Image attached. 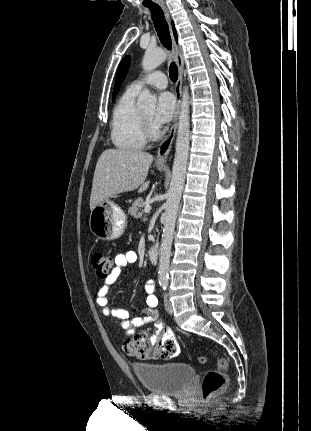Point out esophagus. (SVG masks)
<instances>
[{
  "label": "esophagus",
  "mask_w": 311,
  "mask_h": 431,
  "mask_svg": "<svg viewBox=\"0 0 311 431\" xmlns=\"http://www.w3.org/2000/svg\"><path fill=\"white\" fill-rule=\"evenodd\" d=\"M161 8L165 13L166 18L169 19L170 14H169V11H168L167 7L165 6V4H162ZM172 42H173V45H172L173 52H174L176 64L178 67V79H177L176 86H175L176 111L174 113L173 122H172V125L170 128V131H169L168 135L166 136V138H164V140L161 141L159 148H158L157 157L155 160L156 164L164 166V167L167 166V158H168L169 153L171 151L172 144L174 142L177 127H178V116L180 113V103L182 100V78H183V69H184L183 57H182V54H181L175 40L173 39V36H172Z\"/></svg>",
  "instance_id": "34e87169"
}]
</instances>
